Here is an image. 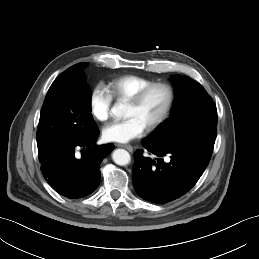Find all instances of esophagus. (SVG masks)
Wrapping results in <instances>:
<instances>
[{
  "mask_svg": "<svg viewBox=\"0 0 259 259\" xmlns=\"http://www.w3.org/2000/svg\"><path fill=\"white\" fill-rule=\"evenodd\" d=\"M117 147H121V148H125L127 149L129 152H133V147L130 145H125V144H116Z\"/></svg>",
  "mask_w": 259,
  "mask_h": 259,
  "instance_id": "obj_1",
  "label": "esophagus"
}]
</instances>
